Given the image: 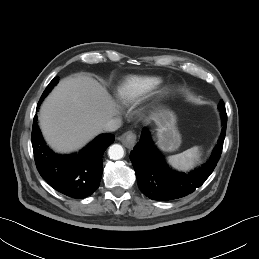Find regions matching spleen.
I'll list each match as a JSON object with an SVG mask.
<instances>
[{
  "label": "spleen",
  "instance_id": "1",
  "mask_svg": "<svg viewBox=\"0 0 259 259\" xmlns=\"http://www.w3.org/2000/svg\"><path fill=\"white\" fill-rule=\"evenodd\" d=\"M200 157V147L194 146L182 153L169 156L168 162L174 168L186 171L192 169L200 161Z\"/></svg>",
  "mask_w": 259,
  "mask_h": 259
}]
</instances>
